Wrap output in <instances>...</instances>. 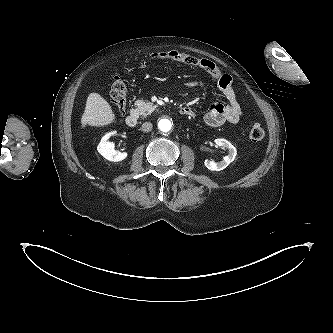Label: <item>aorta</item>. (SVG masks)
I'll list each match as a JSON object with an SVG mask.
<instances>
[{
	"label": "aorta",
	"mask_w": 333,
	"mask_h": 333,
	"mask_svg": "<svg viewBox=\"0 0 333 333\" xmlns=\"http://www.w3.org/2000/svg\"><path fill=\"white\" fill-rule=\"evenodd\" d=\"M172 123L169 119L163 118L158 122V128L162 132H168L171 130Z\"/></svg>",
	"instance_id": "aorta-1"
}]
</instances>
